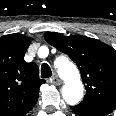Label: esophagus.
Returning <instances> with one entry per match:
<instances>
[{"label":"esophagus","instance_id":"1","mask_svg":"<svg viewBox=\"0 0 116 116\" xmlns=\"http://www.w3.org/2000/svg\"><path fill=\"white\" fill-rule=\"evenodd\" d=\"M51 83H53L54 85H60L62 83V81L57 77V76H53L50 79Z\"/></svg>","mask_w":116,"mask_h":116}]
</instances>
